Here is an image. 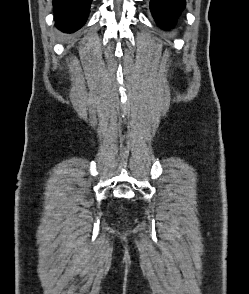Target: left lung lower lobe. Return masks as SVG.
Instances as JSON below:
<instances>
[{
	"mask_svg": "<svg viewBox=\"0 0 249 294\" xmlns=\"http://www.w3.org/2000/svg\"><path fill=\"white\" fill-rule=\"evenodd\" d=\"M185 0H151L150 9L157 24L170 28L185 7Z\"/></svg>",
	"mask_w": 249,
	"mask_h": 294,
	"instance_id": "0a47b994",
	"label": "left lung lower lobe"
}]
</instances>
